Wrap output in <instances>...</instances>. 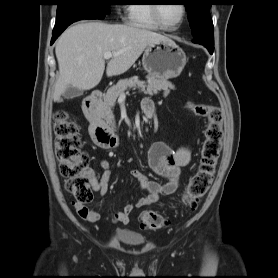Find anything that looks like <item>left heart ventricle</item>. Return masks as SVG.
I'll return each mask as SVG.
<instances>
[{
	"instance_id": "obj_1",
	"label": "left heart ventricle",
	"mask_w": 278,
	"mask_h": 278,
	"mask_svg": "<svg viewBox=\"0 0 278 278\" xmlns=\"http://www.w3.org/2000/svg\"><path fill=\"white\" fill-rule=\"evenodd\" d=\"M159 15L165 24L169 26H175L180 21L182 16L181 4L172 3L160 5Z\"/></svg>"
}]
</instances>
